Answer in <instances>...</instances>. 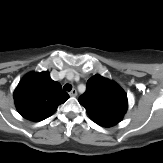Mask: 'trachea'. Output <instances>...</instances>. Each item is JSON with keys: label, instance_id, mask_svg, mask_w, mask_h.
<instances>
[{"label": "trachea", "instance_id": "obj_1", "mask_svg": "<svg viewBox=\"0 0 163 163\" xmlns=\"http://www.w3.org/2000/svg\"><path fill=\"white\" fill-rule=\"evenodd\" d=\"M63 90L69 92V91L72 90V86H71L70 84H65V85L63 86Z\"/></svg>", "mask_w": 163, "mask_h": 163}]
</instances>
